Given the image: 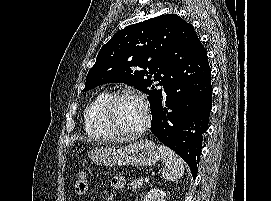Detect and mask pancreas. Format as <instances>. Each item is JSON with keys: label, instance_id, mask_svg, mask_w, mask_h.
Returning <instances> with one entry per match:
<instances>
[{"label": "pancreas", "instance_id": "obj_1", "mask_svg": "<svg viewBox=\"0 0 271 201\" xmlns=\"http://www.w3.org/2000/svg\"><path fill=\"white\" fill-rule=\"evenodd\" d=\"M129 185V188H131L132 191L135 192L136 190L140 189V187H142L143 180L141 178L132 180Z\"/></svg>", "mask_w": 271, "mask_h": 201}]
</instances>
